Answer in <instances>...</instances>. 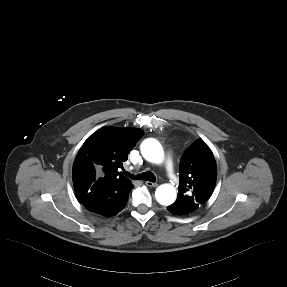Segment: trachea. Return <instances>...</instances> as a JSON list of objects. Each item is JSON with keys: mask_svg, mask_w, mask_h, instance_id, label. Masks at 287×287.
I'll return each instance as SVG.
<instances>
[{"mask_svg": "<svg viewBox=\"0 0 287 287\" xmlns=\"http://www.w3.org/2000/svg\"><path fill=\"white\" fill-rule=\"evenodd\" d=\"M125 175L129 178L135 179V180H145V181H149V182H155L156 177L155 175L148 171V172H143L141 175L139 176H132L129 172H125Z\"/></svg>", "mask_w": 287, "mask_h": 287, "instance_id": "3493384b", "label": "trachea"}]
</instances>
